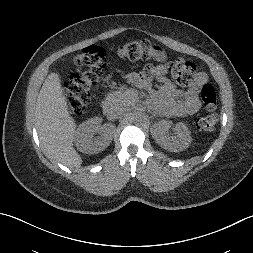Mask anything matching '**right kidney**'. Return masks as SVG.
I'll return each instance as SVG.
<instances>
[{
	"mask_svg": "<svg viewBox=\"0 0 253 253\" xmlns=\"http://www.w3.org/2000/svg\"><path fill=\"white\" fill-rule=\"evenodd\" d=\"M114 129L108 126H101L100 120L96 117L83 122L75 134L76 146L86 154H97L107 148L112 140ZM95 133H100V139H93Z\"/></svg>",
	"mask_w": 253,
	"mask_h": 253,
	"instance_id": "1",
	"label": "right kidney"
}]
</instances>
